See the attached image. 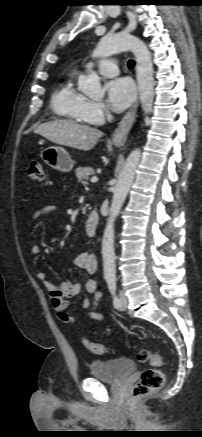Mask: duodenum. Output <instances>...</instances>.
<instances>
[{
	"instance_id": "obj_1",
	"label": "duodenum",
	"mask_w": 202,
	"mask_h": 437,
	"mask_svg": "<svg viewBox=\"0 0 202 437\" xmlns=\"http://www.w3.org/2000/svg\"><path fill=\"white\" fill-rule=\"evenodd\" d=\"M99 224V214L97 209L92 208L89 212L88 218L85 223V230L88 236L94 237L97 233Z\"/></svg>"
}]
</instances>
